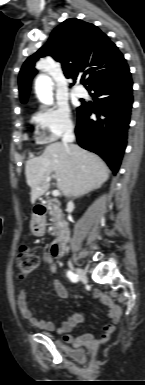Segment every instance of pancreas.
<instances>
[{
    "instance_id": "cf45deb5",
    "label": "pancreas",
    "mask_w": 145,
    "mask_h": 385,
    "mask_svg": "<svg viewBox=\"0 0 145 385\" xmlns=\"http://www.w3.org/2000/svg\"><path fill=\"white\" fill-rule=\"evenodd\" d=\"M49 215L51 216L52 221L54 222L55 226L58 227L59 222H60L59 221L60 217L57 214V207L55 205H53V207L50 208Z\"/></svg>"
}]
</instances>
